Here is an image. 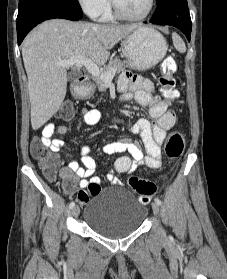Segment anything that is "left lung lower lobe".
Masks as SVG:
<instances>
[{
	"label": "left lung lower lobe",
	"instance_id": "obj_1",
	"mask_svg": "<svg viewBox=\"0 0 227 279\" xmlns=\"http://www.w3.org/2000/svg\"><path fill=\"white\" fill-rule=\"evenodd\" d=\"M157 5L150 22L174 26L180 29L190 41L192 23L187 0H163Z\"/></svg>",
	"mask_w": 227,
	"mask_h": 279
}]
</instances>
